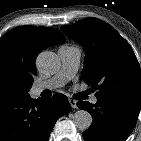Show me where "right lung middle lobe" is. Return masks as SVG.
<instances>
[{"label": "right lung middle lobe", "instance_id": "right-lung-middle-lobe-1", "mask_svg": "<svg viewBox=\"0 0 141 141\" xmlns=\"http://www.w3.org/2000/svg\"><path fill=\"white\" fill-rule=\"evenodd\" d=\"M32 82L33 75L22 71L0 73V100L28 96Z\"/></svg>", "mask_w": 141, "mask_h": 141}]
</instances>
